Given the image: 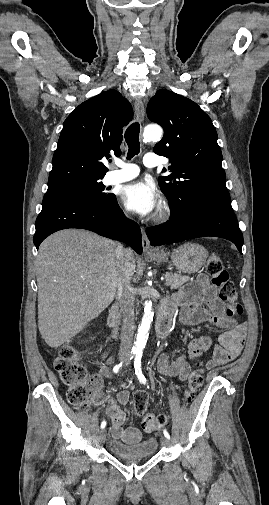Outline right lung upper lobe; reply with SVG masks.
Here are the masks:
<instances>
[{"mask_svg": "<svg viewBox=\"0 0 269 505\" xmlns=\"http://www.w3.org/2000/svg\"><path fill=\"white\" fill-rule=\"evenodd\" d=\"M132 117L131 104L116 90L80 104L63 124L48 189L103 178L107 168L101 160L121 154L122 130Z\"/></svg>", "mask_w": 269, "mask_h": 505, "instance_id": "cb5924a9", "label": "right lung upper lobe"}]
</instances>
